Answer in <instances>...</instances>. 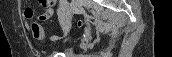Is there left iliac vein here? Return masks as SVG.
I'll list each match as a JSON object with an SVG mask.
<instances>
[{"label": "left iliac vein", "instance_id": "1", "mask_svg": "<svg viewBox=\"0 0 172 57\" xmlns=\"http://www.w3.org/2000/svg\"><path fill=\"white\" fill-rule=\"evenodd\" d=\"M80 5H81V1L75 0V1H72L71 2L70 6L69 5H66L65 7L62 8V11L63 12H70L65 17V21L66 22H69L70 21L71 14L74 13Z\"/></svg>", "mask_w": 172, "mask_h": 57}]
</instances>
